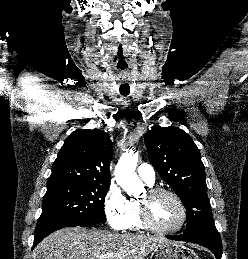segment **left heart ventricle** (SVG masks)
<instances>
[{"label":"left heart ventricle","mask_w":248,"mask_h":259,"mask_svg":"<svg viewBox=\"0 0 248 259\" xmlns=\"http://www.w3.org/2000/svg\"><path fill=\"white\" fill-rule=\"evenodd\" d=\"M147 198L145 194L141 200ZM150 212L153 222L162 229L176 227L181 218L180 208L176 201L168 195H158L150 200Z\"/></svg>","instance_id":"obj_1"}]
</instances>
